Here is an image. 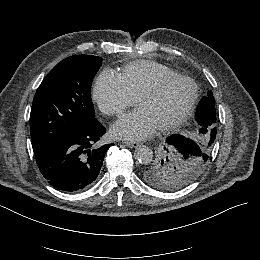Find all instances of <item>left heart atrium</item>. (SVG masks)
Listing matches in <instances>:
<instances>
[{
	"label": "left heart atrium",
	"mask_w": 260,
	"mask_h": 260,
	"mask_svg": "<svg viewBox=\"0 0 260 260\" xmlns=\"http://www.w3.org/2000/svg\"><path fill=\"white\" fill-rule=\"evenodd\" d=\"M155 125L147 112L137 107L122 116L111 128L114 137L129 141L142 140L153 133Z\"/></svg>",
	"instance_id": "39dd6f15"
}]
</instances>
